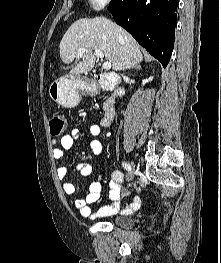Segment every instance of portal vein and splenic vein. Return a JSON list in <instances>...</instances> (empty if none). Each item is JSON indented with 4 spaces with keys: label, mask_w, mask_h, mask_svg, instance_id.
I'll use <instances>...</instances> for the list:
<instances>
[{
    "label": "portal vein and splenic vein",
    "mask_w": 221,
    "mask_h": 263,
    "mask_svg": "<svg viewBox=\"0 0 221 263\" xmlns=\"http://www.w3.org/2000/svg\"><path fill=\"white\" fill-rule=\"evenodd\" d=\"M86 51H88L87 48H80V49L78 50L77 55H78L79 57H81V56H83V54H84ZM94 52H95V54H96L99 58H101V59L104 58L103 52L100 51L99 49H94ZM102 68L105 69V70H109V69L111 68V62H109V61L104 62L103 65H102Z\"/></svg>",
    "instance_id": "18ae733b"
}]
</instances>
